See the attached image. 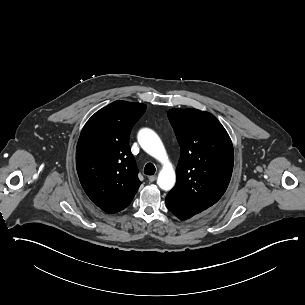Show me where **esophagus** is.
I'll return each instance as SVG.
<instances>
[{
  "instance_id": "esophagus-1",
  "label": "esophagus",
  "mask_w": 305,
  "mask_h": 305,
  "mask_svg": "<svg viewBox=\"0 0 305 305\" xmlns=\"http://www.w3.org/2000/svg\"><path fill=\"white\" fill-rule=\"evenodd\" d=\"M148 179H149L150 182H154L157 179V176L152 175V176H149Z\"/></svg>"
}]
</instances>
